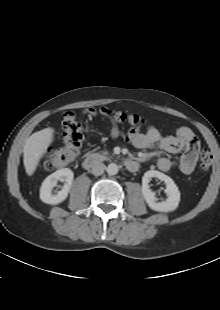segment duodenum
<instances>
[{"label": "duodenum", "instance_id": "obj_1", "mask_svg": "<svg viewBox=\"0 0 220 310\" xmlns=\"http://www.w3.org/2000/svg\"><path fill=\"white\" fill-rule=\"evenodd\" d=\"M105 158L104 155L101 154H90L83 158L82 166L85 169H92L97 166L101 161ZM126 169L130 172H135L138 169V163L132 159L125 160Z\"/></svg>", "mask_w": 220, "mask_h": 310}]
</instances>
